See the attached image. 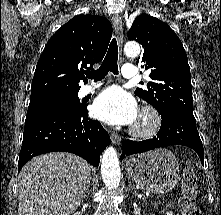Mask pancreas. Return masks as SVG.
I'll return each mask as SVG.
<instances>
[{"label":"pancreas","instance_id":"1","mask_svg":"<svg viewBox=\"0 0 221 215\" xmlns=\"http://www.w3.org/2000/svg\"><path fill=\"white\" fill-rule=\"evenodd\" d=\"M147 200V198L145 199V201ZM151 204L153 205V206H158L159 204H160V200H158V199H156V200H153V201H151Z\"/></svg>","mask_w":221,"mask_h":215}]
</instances>
